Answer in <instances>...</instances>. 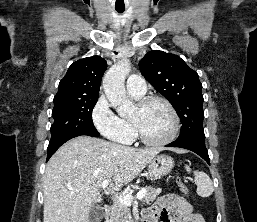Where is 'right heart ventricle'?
Returning a JSON list of instances; mask_svg holds the SVG:
<instances>
[{
    "instance_id": "right-heart-ventricle-1",
    "label": "right heart ventricle",
    "mask_w": 257,
    "mask_h": 222,
    "mask_svg": "<svg viewBox=\"0 0 257 222\" xmlns=\"http://www.w3.org/2000/svg\"><path fill=\"white\" fill-rule=\"evenodd\" d=\"M132 97H134V98H140V97H136V96H133V95H131ZM124 121V120H123ZM124 122H126V123H128L127 121H124ZM129 124V123H128Z\"/></svg>"
}]
</instances>
